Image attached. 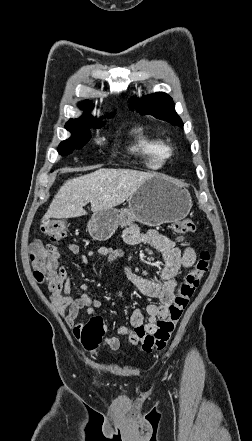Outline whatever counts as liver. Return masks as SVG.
Returning <instances> with one entry per match:
<instances>
[{
    "mask_svg": "<svg viewBox=\"0 0 252 441\" xmlns=\"http://www.w3.org/2000/svg\"><path fill=\"white\" fill-rule=\"evenodd\" d=\"M154 174L132 169L100 168L92 173L67 180L54 196L43 220L75 218L111 209L126 201Z\"/></svg>",
    "mask_w": 252,
    "mask_h": 441,
    "instance_id": "obj_1",
    "label": "liver"
}]
</instances>
